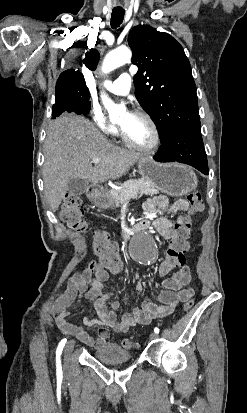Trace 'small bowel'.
<instances>
[{"instance_id":"1","label":"small bowel","mask_w":247,"mask_h":413,"mask_svg":"<svg viewBox=\"0 0 247 413\" xmlns=\"http://www.w3.org/2000/svg\"><path fill=\"white\" fill-rule=\"evenodd\" d=\"M144 208L159 234L163 237H172L175 234L174 222L159 216V214L161 212L184 213L189 210V203L186 200H178L169 204L166 196L156 195L146 200ZM184 219L185 217L180 215L177 223H183ZM108 270L110 269L101 260H92L83 269L76 272L68 282L62 307L55 314V323L63 333L74 336L80 342L96 349L115 348V341L108 340L107 328L112 329L115 333H125L137 325L150 324L154 319L172 314L180 302H185L194 296V293L187 288L191 280L190 267L182 266L170 277L164 278L162 281L164 290L159 293L157 302L144 301L141 308L122 313L120 321H118L115 310L120 308V302L113 299L114 288L109 285V289L104 291L105 285L109 282ZM135 292L137 296H141L143 287L140 284L137 285ZM82 300L91 303V310L97 316L96 319L85 318L84 323L104 326L99 330L97 338H93L81 326L67 320L69 312L66 311L65 307L73 302L80 306Z\"/></svg>"}]
</instances>
